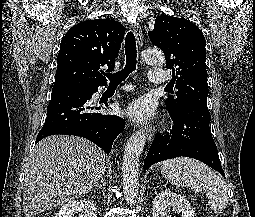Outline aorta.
<instances>
[{
    "mask_svg": "<svg viewBox=\"0 0 255 217\" xmlns=\"http://www.w3.org/2000/svg\"><path fill=\"white\" fill-rule=\"evenodd\" d=\"M142 58L151 65H161L164 63V55L158 49H145L142 52ZM145 142L146 133L144 131H137L131 135L125 146L122 163L123 192L126 202L130 205L135 204L138 197L139 158Z\"/></svg>",
    "mask_w": 255,
    "mask_h": 217,
    "instance_id": "obj_1",
    "label": "aorta"
}]
</instances>
